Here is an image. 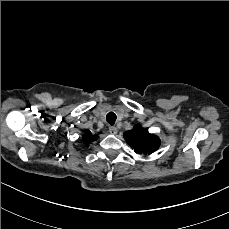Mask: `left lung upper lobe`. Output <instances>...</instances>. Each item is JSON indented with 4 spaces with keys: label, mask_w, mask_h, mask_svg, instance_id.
<instances>
[{
    "label": "left lung upper lobe",
    "mask_w": 229,
    "mask_h": 229,
    "mask_svg": "<svg viewBox=\"0 0 229 229\" xmlns=\"http://www.w3.org/2000/svg\"><path fill=\"white\" fill-rule=\"evenodd\" d=\"M124 138L136 153L145 155L154 153L161 143L156 135L149 133L140 124L126 131Z\"/></svg>",
    "instance_id": "1"
}]
</instances>
